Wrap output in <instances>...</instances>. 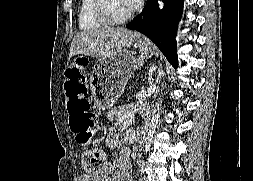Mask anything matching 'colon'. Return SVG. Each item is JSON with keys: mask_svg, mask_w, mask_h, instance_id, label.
<instances>
[{"mask_svg": "<svg viewBox=\"0 0 253 181\" xmlns=\"http://www.w3.org/2000/svg\"><path fill=\"white\" fill-rule=\"evenodd\" d=\"M64 76L70 130L80 145H88L95 135L98 118L87 98L83 69L79 65H70ZM82 164L88 174L95 175L106 165V153L98 148H88L83 153Z\"/></svg>", "mask_w": 253, "mask_h": 181, "instance_id": "5ec220e1", "label": "colon"}]
</instances>
